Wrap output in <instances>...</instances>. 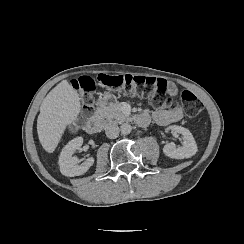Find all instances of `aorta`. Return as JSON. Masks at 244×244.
I'll use <instances>...</instances> for the list:
<instances>
[{
  "mask_svg": "<svg viewBox=\"0 0 244 244\" xmlns=\"http://www.w3.org/2000/svg\"><path fill=\"white\" fill-rule=\"evenodd\" d=\"M120 129H121V133L124 134V135H128L132 131V127L128 123L122 124Z\"/></svg>",
  "mask_w": 244,
  "mask_h": 244,
  "instance_id": "obj_1",
  "label": "aorta"
}]
</instances>
